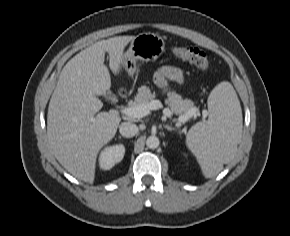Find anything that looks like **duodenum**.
<instances>
[{
  "label": "duodenum",
  "instance_id": "410a0bca",
  "mask_svg": "<svg viewBox=\"0 0 290 236\" xmlns=\"http://www.w3.org/2000/svg\"><path fill=\"white\" fill-rule=\"evenodd\" d=\"M120 96H121L122 98H125V97H126V93H121Z\"/></svg>",
  "mask_w": 290,
  "mask_h": 236
}]
</instances>
